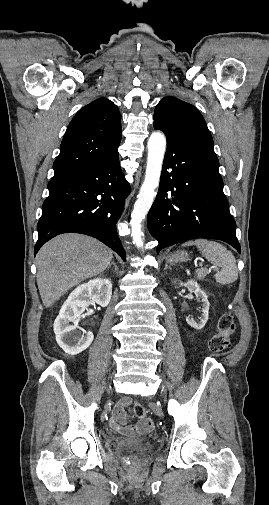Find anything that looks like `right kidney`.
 Instances as JSON below:
<instances>
[{
    "mask_svg": "<svg viewBox=\"0 0 269 505\" xmlns=\"http://www.w3.org/2000/svg\"><path fill=\"white\" fill-rule=\"evenodd\" d=\"M111 295L112 283L107 278L92 279L75 288L69 295L54 322L56 341L67 354H79L91 345L93 333L89 331L81 335L76 329V323L91 302L106 307ZM71 322L74 325H70Z\"/></svg>",
    "mask_w": 269,
    "mask_h": 505,
    "instance_id": "ca27d5eb",
    "label": "right kidney"
}]
</instances>
